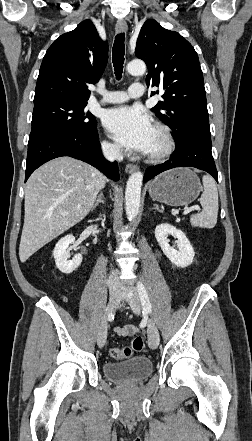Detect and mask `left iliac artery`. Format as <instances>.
I'll return each mask as SVG.
<instances>
[{
  "mask_svg": "<svg viewBox=\"0 0 252 441\" xmlns=\"http://www.w3.org/2000/svg\"><path fill=\"white\" fill-rule=\"evenodd\" d=\"M138 293L143 307V312L150 313L152 306L146 292L145 286L142 283L138 284Z\"/></svg>",
  "mask_w": 252,
  "mask_h": 441,
  "instance_id": "44dca946",
  "label": "left iliac artery"
}]
</instances>
